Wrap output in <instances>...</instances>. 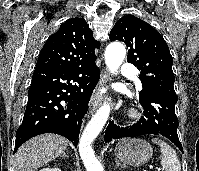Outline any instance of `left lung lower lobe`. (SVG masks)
Instances as JSON below:
<instances>
[{"mask_svg":"<svg viewBox=\"0 0 199 171\" xmlns=\"http://www.w3.org/2000/svg\"><path fill=\"white\" fill-rule=\"evenodd\" d=\"M139 98L145 117H141L136 124L130 127H120L111 122L106 129L105 142L123 137L161 135L168 138L183 152L177 134L179 125L175 114L177 98L149 89L142 90Z\"/></svg>","mask_w":199,"mask_h":171,"instance_id":"0a47b994","label":"left lung lower lobe"}]
</instances>
